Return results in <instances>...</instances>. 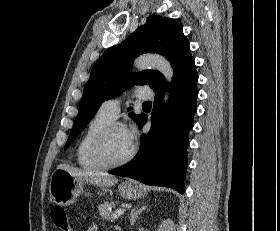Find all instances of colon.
Masks as SVG:
<instances>
[{"label": "colon", "instance_id": "obj_1", "mask_svg": "<svg viewBox=\"0 0 280 231\" xmlns=\"http://www.w3.org/2000/svg\"><path fill=\"white\" fill-rule=\"evenodd\" d=\"M67 216L64 215L63 208H51V220H55L54 224L59 225V231H72L73 225H66L67 224Z\"/></svg>", "mask_w": 280, "mask_h": 231}]
</instances>
